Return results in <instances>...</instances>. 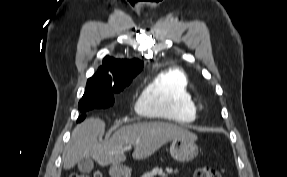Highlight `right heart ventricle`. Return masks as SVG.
Returning <instances> with one entry per match:
<instances>
[{
  "label": "right heart ventricle",
  "mask_w": 287,
  "mask_h": 177,
  "mask_svg": "<svg viewBox=\"0 0 287 177\" xmlns=\"http://www.w3.org/2000/svg\"><path fill=\"white\" fill-rule=\"evenodd\" d=\"M137 109L143 116L171 123H189L196 116L195 97L187 74L173 68L159 73L144 89Z\"/></svg>",
  "instance_id": "right-heart-ventricle-1"
}]
</instances>
